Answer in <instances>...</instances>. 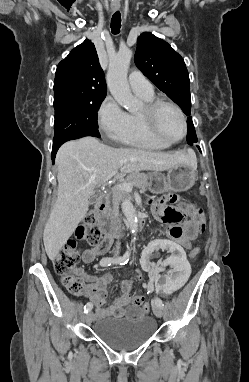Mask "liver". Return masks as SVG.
Here are the masks:
<instances>
[{"mask_svg":"<svg viewBox=\"0 0 249 382\" xmlns=\"http://www.w3.org/2000/svg\"><path fill=\"white\" fill-rule=\"evenodd\" d=\"M58 193L43 232L46 253L54 260L87 214L98 184L115 174L122 178L141 170L164 171L180 164L197 167L194 153L113 148L87 136L64 143L56 155ZM118 170L120 172L118 173Z\"/></svg>","mask_w":249,"mask_h":382,"instance_id":"1","label":"liver"}]
</instances>
